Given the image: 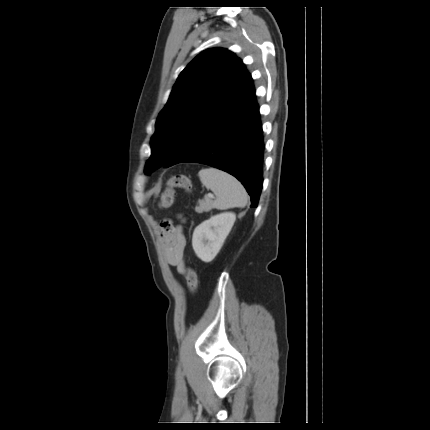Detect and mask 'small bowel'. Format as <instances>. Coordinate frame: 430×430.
<instances>
[{
    "label": "small bowel",
    "mask_w": 430,
    "mask_h": 430,
    "mask_svg": "<svg viewBox=\"0 0 430 430\" xmlns=\"http://www.w3.org/2000/svg\"><path fill=\"white\" fill-rule=\"evenodd\" d=\"M160 239L167 263L184 275L186 238L181 226L174 225L170 220H164L160 226Z\"/></svg>",
    "instance_id": "1"
}]
</instances>
